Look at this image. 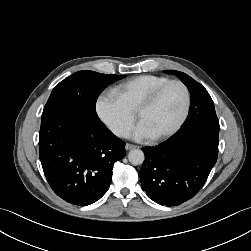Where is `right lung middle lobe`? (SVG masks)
<instances>
[{
    "label": "right lung middle lobe",
    "instance_id": "obj_1",
    "mask_svg": "<svg viewBox=\"0 0 251 251\" xmlns=\"http://www.w3.org/2000/svg\"><path fill=\"white\" fill-rule=\"evenodd\" d=\"M124 77L88 70L76 72L54 87L42 114L69 107L96 114L95 105L100 93Z\"/></svg>",
    "mask_w": 251,
    "mask_h": 251
}]
</instances>
